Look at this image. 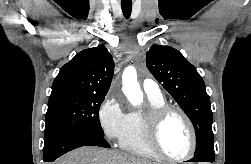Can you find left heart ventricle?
<instances>
[{"label": "left heart ventricle", "instance_id": "obj_1", "mask_svg": "<svg viewBox=\"0 0 251 164\" xmlns=\"http://www.w3.org/2000/svg\"><path fill=\"white\" fill-rule=\"evenodd\" d=\"M160 142L163 150L171 157L186 155L191 147V135L185 121L178 114H171L163 124Z\"/></svg>", "mask_w": 251, "mask_h": 164}]
</instances>
